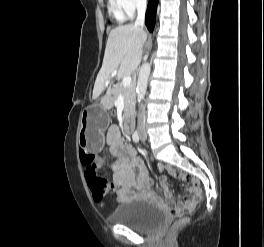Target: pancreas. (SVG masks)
Returning a JSON list of instances; mask_svg holds the SVG:
<instances>
[{"mask_svg": "<svg viewBox=\"0 0 264 247\" xmlns=\"http://www.w3.org/2000/svg\"><path fill=\"white\" fill-rule=\"evenodd\" d=\"M112 96L105 102L106 107H112L119 94H124V113L123 117L127 118L134 107V91L131 87H124L122 85L111 91Z\"/></svg>", "mask_w": 264, "mask_h": 247, "instance_id": "1", "label": "pancreas"}]
</instances>
